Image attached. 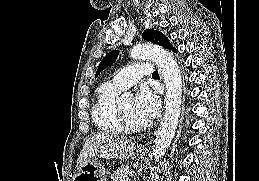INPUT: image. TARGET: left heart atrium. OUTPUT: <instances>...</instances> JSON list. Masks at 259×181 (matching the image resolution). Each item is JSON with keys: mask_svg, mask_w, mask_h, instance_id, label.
I'll list each match as a JSON object with an SVG mask.
<instances>
[{"mask_svg": "<svg viewBox=\"0 0 259 181\" xmlns=\"http://www.w3.org/2000/svg\"><path fill=\"white\" fill-rule=\"evenodd\" d=\"M134 104L137 116L144 122L154 119L160 110L159 96L147 87L139 90Z\"/></svg>", "mask_w": 259, "mask_h": 181, "instance_id": "left-heart-atrium-1", "label": "left heart atrium"}]
</instances>
